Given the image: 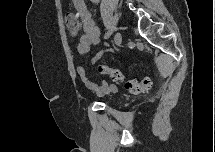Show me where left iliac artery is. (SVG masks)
<instances>
[{"label":"left iliac artery","mask_w":215,"mask_h":152,"mask_svg":"<svg viewBox=\"0 0 215 152\" xmlns=\"http://www.w3.org/2000/svg\"><path fill=\"white\" fill-rule=\"evenodd\" d=\"M111 34H112V32H111V31H108V32L105 34L104 38H105V39L109 38V37L111 36Z\"/></svg>","instance_id":"44dca946"}]
</instances>
